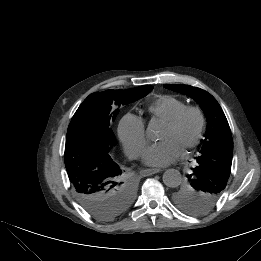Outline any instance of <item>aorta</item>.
Instances as JSON below:
<instances>
[{
    "label": "aorta",
    "mask_w": 261,
    "mask_h": 261,
    "mask_svg": "<svg viewBox=\"0 0 261 261\" xmlns=\"http://www.w3.org/2000/svg\"><path fill=\"white\" fill-rule=\"evenodd\" d=\"M156 129L154 126H149L147 129V133L149 136H154ZM163 183L167 187L175 188L181 184L182 177L178 170L176 169H168L163 174Z\"/></svg>",
    "instance_id": "762f6f07"
}]
</instances>
